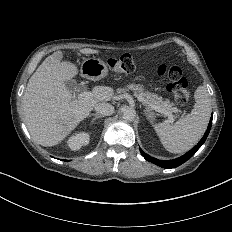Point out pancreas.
I'll return each instance as SVG.
<instances>
[{
	"label": "pancreas",
	"mask_w": 232,
	"mask_h": 232,
	"mask_svg": "<svg viewBox=\"0 0 232 232\" xmlns=\"http://www.w3.org/2000/svg\"><path fill=\"white\" fill-rule=\"evenodd\" d=\"M135 95L142 96L143 98L146 99L147 103H149L150 105L160 106L168 113L178 111V109L176 107H173V103H170L168 99L163 101L162 97H159L157 94L151 93L149 91H143V90L135 91Z\"/></svg>",
	"instance_id": "pancreas-1"
}]
</instances>
